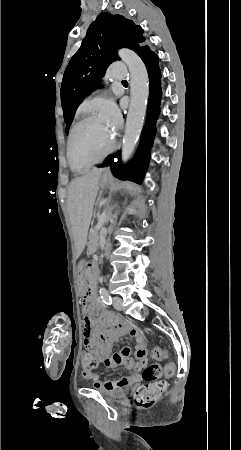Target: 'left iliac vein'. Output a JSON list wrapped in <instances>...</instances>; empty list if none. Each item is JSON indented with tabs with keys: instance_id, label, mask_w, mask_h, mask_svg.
Wrapping results in <instances>:
<instances>
[{
	"instance_id": "left-iliac-vein-1",
	"label": "left iliac vein",
	"mask_w": 241,
	"mask_h": 450,
	"mask_svg": "<svg viewBox=\"0 0 241 450\" xmlns=\"http://www.w3.org/2000/svg\"><path fill=\"white\" fill-rule=\"evenodd\" d=\"M113 306L115 309L117 310H121L122 309V299L118 296L113 298Z\"/></svg>"
}]
</instances>
